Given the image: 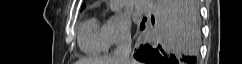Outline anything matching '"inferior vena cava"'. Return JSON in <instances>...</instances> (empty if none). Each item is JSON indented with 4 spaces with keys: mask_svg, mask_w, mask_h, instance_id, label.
<instances>
[{
    "mask_svg": "<svg viewBox=\"0 0 242 64\" xmlns=\"http://www.w3.org/2000/svg\"><path fill=\"white\" fill-rule=\"evenodd\" d=\"M131 39L125 37L114 52V58L118 64H130Z\"/></svg>",
    "mask_w": 242,
    "mask_h": 64,
    "instance_id": "1",
    "label": "inferior vena cava"
}]
</instances>
